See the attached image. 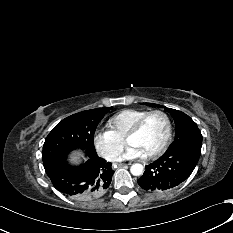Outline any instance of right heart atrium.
Masks as SVG:
<instances>
[{
    "label": "right heart atrium",
    "mask_w": 233,
    "mask_h": 233,
    "mask_svg": "<svg viewBox=\"0 0 233 233\" xmlns=\"http://www.w3.org/2000/svg\"><path fill=\"white\" fill-rule=\"evenodd\" d=\"M93 143L98 153L109 161L117 160L124 148V140L117 137L111 130L96 132Z\"/></svg>",
    "instance_id": "obj_1"
}]
</instances>
